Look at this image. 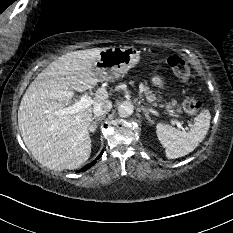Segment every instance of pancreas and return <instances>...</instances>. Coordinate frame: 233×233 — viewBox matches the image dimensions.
<instances>
[{
	"label": "pancreas",
	"mask_w": 233,
	"mask_h": 233,
	"mask_svg": "<svg viewBox=\"0 0 233 233\" xmlns=\"http://www.w3.org/2000/svg\"><path fill=\"white\" fill-rule=\"evenodd\" d=\"M140 90L144 93L145 97L148 99V100H155V96L152 94V92L149 90V87L146 86V85H143L141 84L140 85ZM177 105V102L176 101H172L171 102V106H176ZM170 107V106H168ZM178 112H180V110H178Z\"/></svg>",
	"instance_id": "cf45deb5"
}]
</instances>
